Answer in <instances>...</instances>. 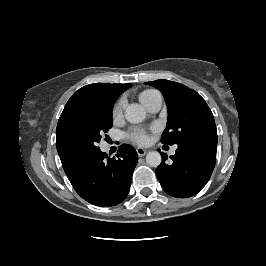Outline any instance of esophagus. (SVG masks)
<instances>
[{
    "instance_id": "esophagus-1",
    "label": "esophagus",
    "mask_w": 266,
    "mask_h": 266,
    "mask_svg": "<svg viewBox=\"0 0 266 266\" xmlns=\"http://www.w3.org/2000/svg\"><path fill=\"white\" fill-rule=\"evenodd\" d=\"M136 151H137V154H138L139 157H143L147 153V150H145L143 148H137Z\"/></svg>"
}]
</instances>
